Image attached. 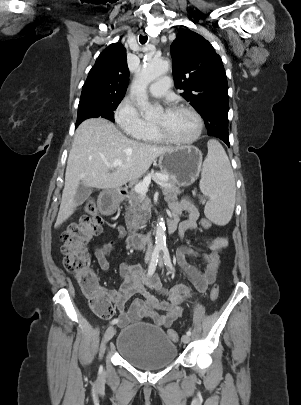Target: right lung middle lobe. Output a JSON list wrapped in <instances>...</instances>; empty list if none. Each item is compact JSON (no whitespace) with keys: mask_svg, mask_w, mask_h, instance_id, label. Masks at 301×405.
Segmentation results:
<instances>
[{"mask_svg":"<svg viewBox=\"0 0 301 405\" xmlns=\"http://www.w3.org/2000/svg\"><path fill=\"white\" fill-rule=\"evenodd\" d=\"M124 96L88 95L80 98L76 127L85 119L102 117L114 122L113 111Z\"/></svg>","mask_w":301,"mask_h":405,"instance_id":"right-lung-middle-lobe-1","label":"right lung middle lobe"}]
</instances>
